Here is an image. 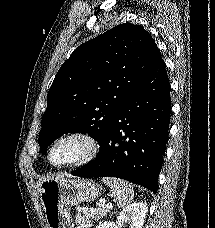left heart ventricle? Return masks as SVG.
<instances>
[{
	"label": "left heart ventricle",
	"mask_w": 215,
	"mask_h": 228,
	"mask_svg": "<svg viewBox=\"0 0 215 228\" xmlns=\"http://www.w3.org/2000/svg\"><path fill=\"white\" fill-rule=\"evenodd\" d=\"M80 147L73 142L59 145L50 155V161L54 164L64 163L73 159L79 152Z\"/></svg>",
	"instance_id": "left-heart-ventricle-1"
}]
</instances>
